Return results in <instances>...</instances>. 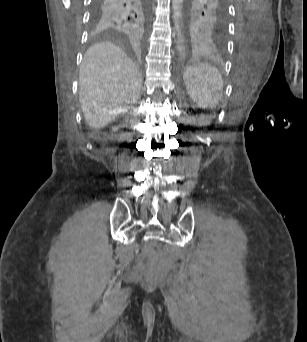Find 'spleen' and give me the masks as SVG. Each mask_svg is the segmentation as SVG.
<instances>
[{"label":"spleen","instance_id":"1","mask_svg":"<svg viewBox=\"0 0 307 342\" xmlns=\"http://www.w3.org/2000/svg\"><path fill=\"white\" fill-rule=\"evenodd\" d=\"M184 84L199 108H216L223 92V78L217 68L194 63L184 71Z\"/></svg>","mask_w":307,"mask_h":342}]
</instances>
